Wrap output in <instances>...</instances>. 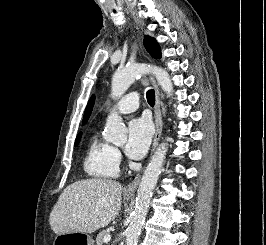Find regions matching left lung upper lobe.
Listing matches in <instances>:
<instances>
[{"label":"left lung upper lobe","mask_w":266,"mask_h":245,"mask_svg":"<svg viewBox=\"0 0 266 245\" xmlns=\"http://www.w3.org/2000/svg\"><path fill=\"white\" fill-rule=\"evenodd\" d=\"M144 46L152 57H154L156 59L161 57L160 47H159V45L155 39H153L149 36H145Z\"/></svg>","instance_id":"5c2ea615"}]
</instances>
